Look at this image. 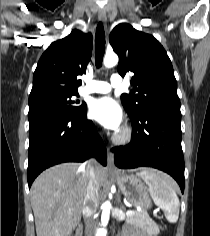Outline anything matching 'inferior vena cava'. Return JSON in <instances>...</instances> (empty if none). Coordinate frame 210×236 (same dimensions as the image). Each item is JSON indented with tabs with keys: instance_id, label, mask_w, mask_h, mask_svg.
Listing matches in <instances>:
<instances>
[{
	"instance_id": "1",
	"label": "inferior vena cava",
	"mask_w": 210,
	"mask_h": 236,
	"mask_svg": "<svg viewBox=\"0 0 210 236\" xmlns=\"http://www.w3.org/2000/svg\"><path fill=\"white\" fill-rule=\"evenodd\" d=\"M86 171L88 184L86 195L84 198L82 213L85 217V236H93L96 225L93 215L96 212L99 200V182L96 178L93 160H89L86 163Z\"/></svg>"
}]
</instances>
